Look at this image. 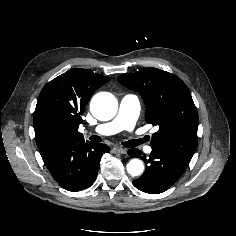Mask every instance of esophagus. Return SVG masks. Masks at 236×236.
<instances>
[{
    "instance_id": "obj_1",
    "label": "esophagus",
    "mask_w": 236,
    "mask_h": 236,
    "mask_svg": "<svg viewBox=\"0 0 236 236\" xmlns=\"http://www.w3.org/2000/svg\"><path fill=\"white\" fill-rule=\"evenodd\" d=\"M112 152L113 153L126 154L127 153V149L123 148V147H113L112 148Z\"/></svg>"
}]
</instances>
